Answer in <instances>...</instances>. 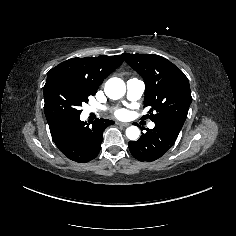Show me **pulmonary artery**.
Segmentation results:
<instances>
[{
  "label": "pulmonary artery",
  "instance_id": "e3ab8cb5",
  "mask_svg": "<svg viewBox=\"0 0 236 236\" xmlns=\"http://www.w3.org/2000/svg\"><path fill=\"white\" fill-rule=\"evenodd\" d=\"M143 92H144V84L142 81L137 79H129L127 81V97L130 100H138L139 98H141ZM91 112H96V109L91 105H86L84 108V113L88 114ZM154 126L155 125L153 122L148 123V127L150 129L154 128Z\"/></svg>",
  "mask_w": 236,
  "mask_h": 236
}]
</instances>
